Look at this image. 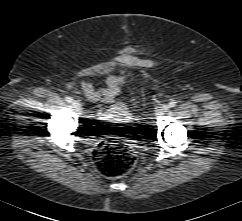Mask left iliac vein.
I'll use <instances>...</instances> for the list:
<instances>
[{
    "mask_svg": "<svg viewBox=\"0 0 242 221\" xmlns=\"http://www.w3.org/2000/svg\"><path fill=\"white\" fill-rule=\"evenodd\" d=\"M168 110V105H162L160 106L157 111H156V115L157 116H162L164 115Z\"/></svg>",
    "mask_w": 242,
    "mask_h": 221,
    "instance_id": "obj_1",
    "label": "left iliac vein"
}]
</instances>
